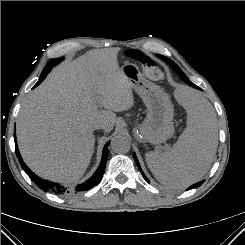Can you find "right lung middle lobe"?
Segmentation results:
<instances>
[{
  "mask_svg": "<svg viewBox=\"0 0 245 245\" xmlns=\"http://www.w3.org/2000/svg\"><path fill=\"white\" fill-rule=\"evenodd\" d=\"M64 58H56V59H51L48 63L52 64V65H56L58 63H60Z\"/></svg>",
  "mask_w": 245,
  "mask_h": 245,
  "instance_id": "1",
  "label": "right lung middle lobe"
}]
</instances>
